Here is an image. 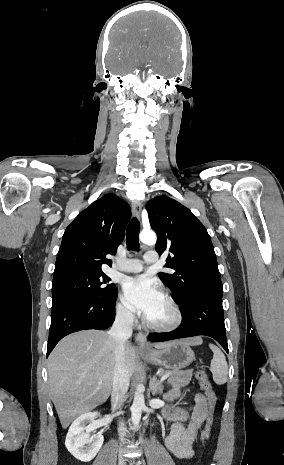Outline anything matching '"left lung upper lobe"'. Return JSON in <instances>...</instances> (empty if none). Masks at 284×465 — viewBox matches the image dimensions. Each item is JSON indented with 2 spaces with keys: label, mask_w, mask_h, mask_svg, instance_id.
<instances>
[{
  "label": "left lung upper lobe",
  "mask_w": 284,
  "mask_h": 465,
  "mask_svg": "<svg viewBox=\"0 0 284 465\" xmlns=\"http://www.w3.org/2000/svg\"><path fill=\"white\" fill-rule=\"evenodd\" d=\"M151 228L158 240L155 249L161 255L170 252L165 267L173 274L159 273L173 291V299L207 294L222 297L223 287L214 247L198 218L185 206L167 196H158L146 204Z\"/></svg>",
  "instance_id": "obj_1"
}]
</instances>
